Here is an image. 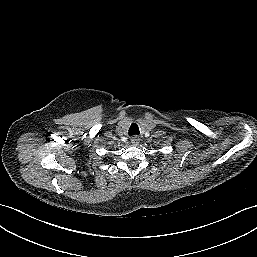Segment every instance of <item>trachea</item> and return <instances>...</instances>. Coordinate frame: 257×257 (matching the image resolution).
I'll return each instance as SVG.
<instances>
[{"instance_id":"obj_1","label":"trachea","mask_w":257,"mask_h":257,"mask_svg":"<svg viewBox=\"0 0 257 257\" xmlns=\"http://www.w3.org/2000/svg\"><path fill=\"white\" fill-rule=\"evenodd\" d=\"M140 131H139V127L136 123H132L130 128H129V135H139Z\"/></svg>"}]
</instances>
